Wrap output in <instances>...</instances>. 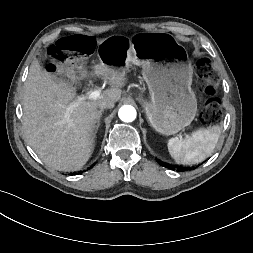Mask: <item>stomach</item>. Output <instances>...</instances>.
<instances>
[{
    "label": "stomach",
    "mask_w": 253,
    "mask_h": 253,
    "mask_svg": "<svg viewBox=\"0 0 253 253\" xmlns=\"http://www.w3.org/2000/svg\"><path fill=\"white\" fill-rule=\"evenodd\" d=\"M99 64L120 71L142 67L150 99L139 98L149 124L163 135L188 126L197 112L191 88L193 68L185 49L167 33L140 34L133 39L112 35L97 46Z\"/></svg>",
    "instance_id": "obj_1"
}]
</instances>
